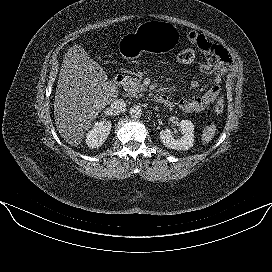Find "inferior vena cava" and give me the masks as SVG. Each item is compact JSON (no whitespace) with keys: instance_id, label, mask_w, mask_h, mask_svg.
Masks as SVG:
<instances>
[{"instance_id":"602c4592","label":"inferior vena cava","mask_w":272,"mask_h":272,"mask_svg":"<svg viewBox=\"0 0 272 272\" xmlns=\"http://www.w3.org/2000/svg\"><path fill=\"white\" fill-rule=\"evenodd\" d=\"M126 103L123 99H115L111 102L110 111L114 115H118L125 110Z\"/></svg>"}]
</instances>
